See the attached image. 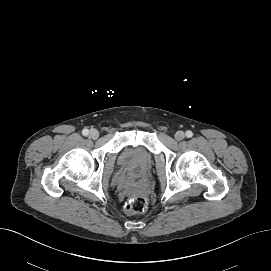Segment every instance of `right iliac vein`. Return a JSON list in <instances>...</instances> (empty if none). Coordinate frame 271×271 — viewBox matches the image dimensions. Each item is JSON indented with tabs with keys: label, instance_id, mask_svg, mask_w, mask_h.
Returning a JSON list of instances; mask_svg holds the SVG:
<instances>
[{
	"label": "right iliac vein",
	"instance_id": "right-iliac-vein-1",
	"mask_svg": "<svg viewBox=\"0 0 271 271\" xmlns=\"http://www.w3.org/2000/svg\"><path fill=\"white\" fill-rule=\"evenodd\" d=\"M89 135L92 139H97L99 137V132L96 129H91Z\"/></svg>",
	"mask_w": 271,
	"mask_h": 271
}]
</instances>
